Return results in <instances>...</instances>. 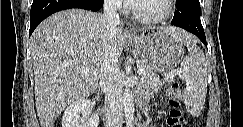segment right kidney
<instances>
[{
	"label": "right kidney",
	"instance_id": "ca27d5eb",
	"mask_svg": "<svg viewBox=\"0 0 243 127\" xmlns=\"http://www.w3.org/2000/svg\"><path fill=\"white\" fill-rule=\"evenodd\" d=\"M99 116L92 113V103L86 98L76 100L64 111L62 127H98Z\"/></svg>",
	"mask_w": 243,
	"mask_h": 127
}]
</instances>
